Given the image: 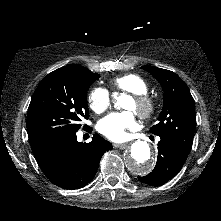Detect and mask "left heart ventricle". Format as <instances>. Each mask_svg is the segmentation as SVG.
I'll use <instances>...</instances> for the list:
<instances>
[{
  "instance_id": "b2bd125f",
  "label": "left heart ventricle",
  "mask_w": 221,
  "mask_h": 221,
  "mask_svg": "<svg viewBox=\"0 0 221 221\" xmlns=\"http://www.w3.org/2000/svg\"><path fill=\"white\" fill-rule=\"evenodd\" d=\"M126 108H127V109H130V110L135 109V103H134L133 99H131V100L128 102Z\"/></svg>"
}]
</instances>
